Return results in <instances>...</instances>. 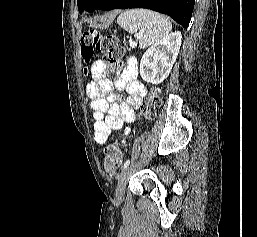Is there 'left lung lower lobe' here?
Here are the masks:
<instances>
[{"mask_svg": "<svg viewBox=\"0 0 257 237\" xmlns=\"http://www.w3.org/2000/svg\"><path fill=\"white\" fill-rule=\"evenodd\" d=\"M195 0H110L102 10L146 8L167 14L187 29Z\"/></svg>", "mask_w": 257, "mask_h": 237, "instance_id": "obj_1", "label": "left lung lower lobe"}]
</instances>
